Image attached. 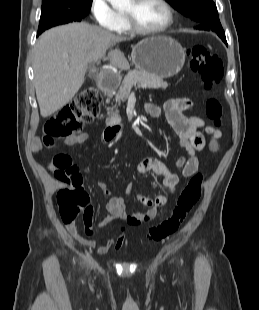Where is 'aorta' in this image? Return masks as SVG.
Instances as JSON below:
<instances>
[{
	"label": "aorta",
	"mask_w": 259,
	"mask_h": 310,
	"mask_svg": "<svg viewBox=\"0 0 259 310\" xmlns=\"http://www.w3.org/2000/svg\"><path fill=\"white\" fill-rule=\"evenodd\" d=\"M113 8L121 9L122 7L126 6L130 0H107Z\"/></svg>",
	"instance_id": "aorta-1"
}]
</instances>
